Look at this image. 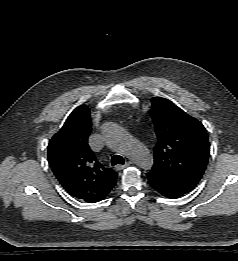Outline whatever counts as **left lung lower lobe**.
<instances>
[{
	"mask_svg": "<svg viewBox=\"0 0 238 261\" xmlns=\"http://www.w3.org/2000/svg\"><path fill=\"white\" fill-rule=\"evenodd\" d=\"M148 182L155 191H157L158 193H160L161 195H163L165 197L174 199V198H178V197L182 196V194L169 189L168 187L162 185L161 183H159L151 178H148Z\"/></svg>",
	"mask_w": 238,
	"mask_h": 261,
	"instance_id": "obj_1",
	"label": "left lung lower lobe"
}]
</instances>
